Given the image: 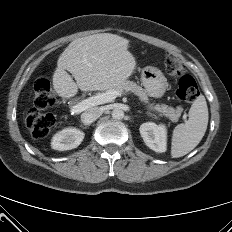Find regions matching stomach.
I'll use <instances>...</instances> for the list:
<instances>
[{
  "mask_svg": "<svg viewBox=\"0 0 232 232\" xmlns=\"http://www.w3.org/2000/svg\"><path fill=\"white\" fill-rule=\"evenodd\" d=\"M141 81L148 95L155 98L163 96L168 87L162 72L152 67H146L142 70Z\"/></svg>",
  "mask_w": 232,
  "mask_h": 232,
  "instance_id": "0dacf381",
  "label": "stomach"
}]
</instances>
